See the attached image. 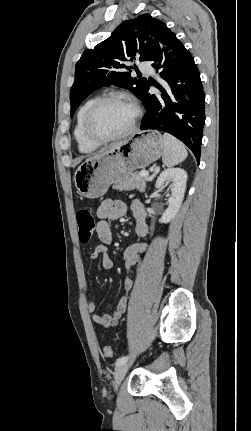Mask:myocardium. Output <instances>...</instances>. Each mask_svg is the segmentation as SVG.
Masks as SVG:
<instances>
[{"label": "myocardium", "instance_id": "obj_1", "mask_svg": "<svg viewBox=\"0 0 251 431\" xmlns=\"http://www.w3.org/2000/svg\"><path fill=\"white\" fill-rule=\"evenodd\" d=\"M110 101H122V102L129 103L134 108V112H135L134 118L130 127L124 132L110 137H100L94 134V132L92 131V121L95 114L100 109V107ZM141 116H142L141 108L135 100H133L132 98L124 94L108 93L97 98L87 110L83 121V132L86 139L89 142L96 145H103L110 142L118 141L130 136L136 130L138 123L141 119Z\"/></svg>", "mask_w": 251, "mask_h": 431}]
</instances>
